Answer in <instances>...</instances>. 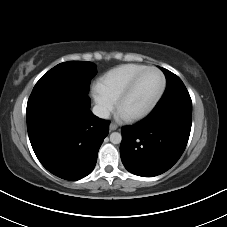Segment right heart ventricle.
<instances>
[{
	"label": "right heart ventricle",
	"mask_w": 227,
	"mask_h": 227,
	"mask_svg": "<svg viewBox=\"0 0 227 227\" xmlns=\"http://www.w3.org/2000/svg\"><path fill=\"white\" fill-rule=\"evenodd\" d=\"M145 67L146 65L135 63L119 65L102 76L98 87L111 98L117 100L133 77Z\"/></svg>",
	"instance_id": "obj_1"
}]
</instances>
